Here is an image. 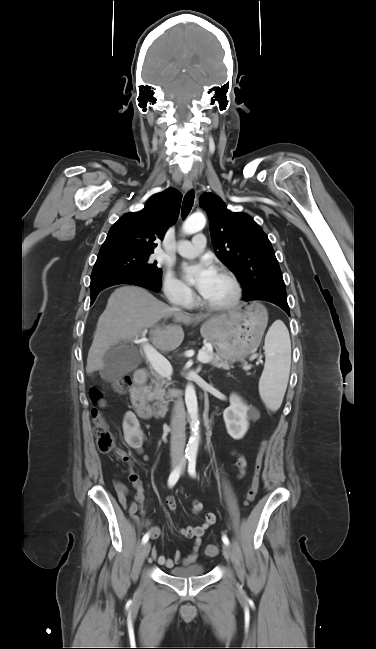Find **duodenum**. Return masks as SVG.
I'll use <instances>...</instances> for the list:
<instances>
[{"mask_svg": "<svg viewBox=\"0 0 376 649\" xmlns=\"http://www.w3.org/2000/svg\"><path fill=\"white\" fill-rule=\"evenodd\" d=\"M147 381V371L145 369H138L133 376V385L130 390V398L133 407L136 412L142 417H149L155 412L163 413V410L159 407H150L148 406L143 398L142 388ZM183 395L182 390H175L172 394L169 395L172 399H180Z\"/></svg>", "mask_w": 376, "mask_h": 649, "instance_id": "410a0bca", "label": "duodenum"}]
</instances>
